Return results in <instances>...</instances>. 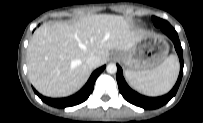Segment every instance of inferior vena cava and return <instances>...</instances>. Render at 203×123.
<instances>
[{"label":"inferior vena cava","mask_w":203,"mask_h":123,"mask_svg":"<svg viewBox=\"0 0 203 123\" xmlns=\"http://www.w3.org/2000/svg\"><path fill=\"white\" fill-rule=\"evenodd\" d=\"M86 63L91 67V68H96L98 67L99 64V58L95 55H91L86 59Z\"/></svg>","instance_id":"602c4592"}]
</instances>
